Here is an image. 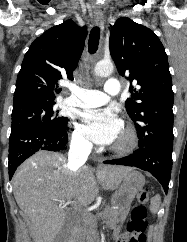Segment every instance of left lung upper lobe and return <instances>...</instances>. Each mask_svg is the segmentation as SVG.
I'll return each instance as SVG.
<instances>
[{
    "label": "left lung upper lobe",
    "mask_w": 187,
    "mask_h": 242,
    "mask_svg": "<svg viewBox=\"0 0 187 242\" xmlns=\"http://www.w3.org/2000/svg\"><path fill=\"white\" fill-rule=\"evenodd\" d=\"M109 46L119 74L131 83L126 110L136 126L139 147L173 141L172 79L159 38L149 28L121 17L111 29Z\"/></svg>",
    "instance_id": "obj_1"
}]
</instances>
